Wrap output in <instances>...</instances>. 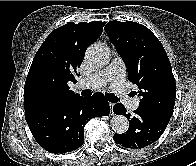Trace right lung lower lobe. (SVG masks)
Here are the masks:
<instances>
[{"label": "right lung lower lobe", "instance_id": "98d812e1", "mask_svg": "<svg viewBox=\"0 0 196 166\" xmlns=\"http://www.w3.org/2000/svg\"><path fill=\"white\" fill-rule=\"evenodd\" d=\"M109 112L105 97L95 93L91 97L76 96L49 108L25 114V119L41 147L54 154H62L83 145L84 125L89 119L109 115Z\"/></svg>", "mask_w": 196, "mask_h": 166}]
</instances>
